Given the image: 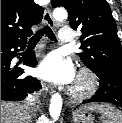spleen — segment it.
Masks as SVG:
<instances>
[{"label": "spleen", "mask_w": 122, "mask_h": 123, "mask_svg": "<svg viewBox=\"0 0 122 123\" xmlns=\"http://www.w3.org/2000/svg\"><path fill=\"white\" fill-rule=\"evenodd\" d=\"M78 111H96L101 114L102 123H122V113L110 104H89L79 108Z\"/></svg>", "instance_id": "obj_1"}]
</instances>
